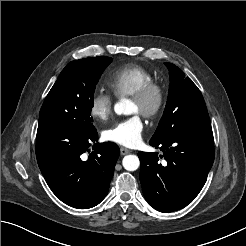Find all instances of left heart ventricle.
Segmentation results:
<instances>
[{
    "mask_svg": "<svg viewBox=\"0 0 246 246\" xmlns=\"http://www.w3.org/2000/svg\"><path fill=\"white\" fill-rule=\"evenodd\" d=\"M129 111L131 113H137L140 111V106L137 102H135L134 100H131L130 102V106H129Z\"/></svg>",
    "mask_w": 246,
    "mask_h": 246,
    "instance_id": "left-heart-ventricle-1",
    "label": "left heart ventricle"
}]
</instances>
